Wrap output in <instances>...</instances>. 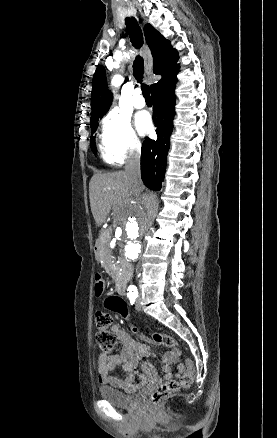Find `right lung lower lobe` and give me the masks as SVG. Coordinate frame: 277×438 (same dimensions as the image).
Masks as SVG:
<instances>
[{
	"label": "right lung lower lobe",
	"mask_w": 277,
	"mask_h": 438,
	"mask_svg": "<svg viewBox=\"0 0 277 438\" xmlns=\"http://www.w3.org/2000/svg\"><path fill=\"white\" fill-rule=\"evenodd\" d=\"M177 74V73H176ZM176 74L151 89L153 118L157 126L158 139L146 138L141 150V176L144 184L152 190H159L164 179L170 135L175 115Z\"/></svg>",
	"instance_id": "1"
}]
</instances>
